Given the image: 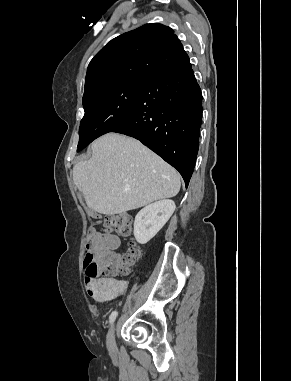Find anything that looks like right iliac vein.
I'll return each mask as SVG.
<instances>
[{
    "label": "right iliac vein",
    "instance_id": "obj_1",
    "mask_svg": "<svg viewBox=\"0 0 291 381\" xmlns=\"http://www.w3.org/2000/svg\"><path fill=\"white\" fill-rule=\"evenodd\" d=\"M107 344L110 349H113L115 346V324H113L108 332Z\"/></svg>",
    "mask_w": 291,
    "mask_h": 381
}]
</instances>
